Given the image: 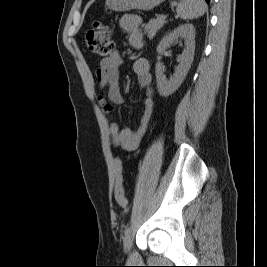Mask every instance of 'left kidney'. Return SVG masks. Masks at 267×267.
<instances>
[{"label":"left kidney","mask_w":267,"mask_h":267,"mask_svg":"<svg viewBox=\"0 0 267 267\" xmlns=\"http://www.w3.org/2000/svg\"><path fill=\"white\" fill-rule=\"evenodd\" d=\"M178 39H184L185 49L182 54L178 56L179 65L176 68L175 73L167 79L164 75V67L162 66V63H156L155 75L157 88L159 95L162 97H168L180 87L191 67L195 51L194 26L192 24L180 25L165 35L157 46V53H163L165 49Z\"/></svg>","instance_id":"obj_1"}]
</instances>
